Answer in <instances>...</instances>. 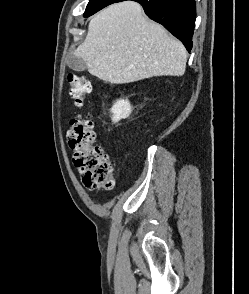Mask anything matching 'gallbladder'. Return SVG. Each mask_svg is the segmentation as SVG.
<instances>
[{"label": "gallbladder", "mask_w": 249, "mask_h": 294, "mask_svg": "<svg viewBox=\"0 0 249 294\" xmlns=\"http://www.w3.org/2000/svg\"><path fill=\"white\" fill-rule=\"evenodd\" d=\"M67 66L70 69H72L74 71H78V72L85 71L87 69L86 62L82 58H79L75 55H71L68 58Z\"/></svg>", "instance_id": "gallbladder-1"}]
</instances>
